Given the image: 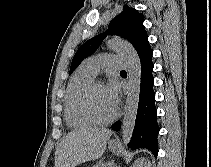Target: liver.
Listing matches in <instances>:
<instances>
[{"label":"liver","mask_w":211,"mask_h":167,"mask_svg":"<svg viewBox=\"0 0 211 167\" xmlns=\"http://www.w3.org/2000/svg\"><path fill=\"white\" fill-rule=\"evenodd\" d=\"M112 131L106 128H82L66 135L56 148L54 167H75L99 159Z\"/></svg>","instance_id":"liver-1"}]
</instances>
